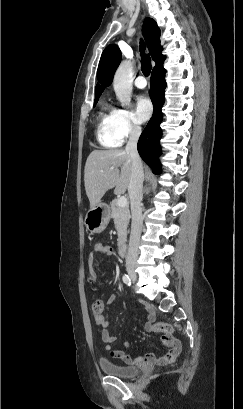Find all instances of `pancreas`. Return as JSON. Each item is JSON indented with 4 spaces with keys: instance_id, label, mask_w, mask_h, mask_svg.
I'll return each instance as SVG.
<instances>
[{
    "instance_id": "cf45deb5",
    "label": "pancreas",
    "mask_w": 243,
    "mask_h": 409,
    "mask_svg": "<svg viewBox=\"0 0 243 409\" xmlns=\"http://www.w3.org/2000/svg\"><path fill=\"white\" fill-rule=\"evenodd\" d=\"M111 217L117 225L118 243H123L127 238V228L130 221V211L128 204L125 207H119L117 199L111 203Z\"/></svg>"
}]
</instances>
